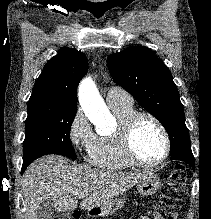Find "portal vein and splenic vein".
<instances>
[{
  "mask_svg": "<svg viewBox=\"0 0 211 219\" xmlns=\"http://www.w3.org/2000/svg\"><path fill=\"white\" fill-rule=\"evenodd\" d=\"M85 196H86V194H84V193H78V194H76V197H77V198H80V199L84 198Z\"/></svg>",
  "mask_w": 211,
  "mask_h": 219,
  "instance_id": "18ae733b",
  "label": "portal vein and splenic vein"
}]
</instances>
